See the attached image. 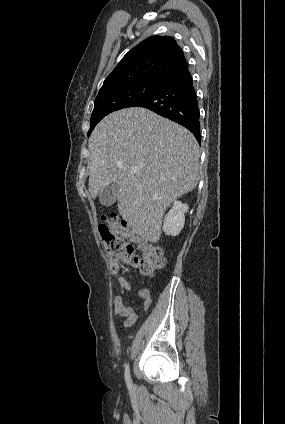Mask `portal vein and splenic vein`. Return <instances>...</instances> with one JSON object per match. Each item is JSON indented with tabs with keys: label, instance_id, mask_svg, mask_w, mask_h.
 <instances>
[{
	"label": "portal vein and splenic vein",
	"instance_id": "1",
	"mask_svg": "<svg viewBox=\"0 0 285 424\" xmlns=\"http://www.w3.org/2000/svg\"><path fill=\"white\" fill-rule=\"evenodd\" d=\"M132 171H133L134 173H137V172L139 171V169H138V167H133V168H132Z\"/></svg>",
	"mask_w": 285,
	"mask_h": 424
}]
</instances>
